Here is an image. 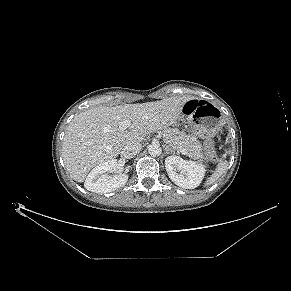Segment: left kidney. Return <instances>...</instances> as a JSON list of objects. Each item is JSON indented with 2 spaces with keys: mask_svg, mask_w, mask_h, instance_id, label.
Returning <instances> with one entry per match:
<instances>
[{
  "mask_svg": "<svg viewBox=\"0 0 291 291\" xmlns=\"http://www.w3.org/2000/svg\"><path fill=\"white\" fill-rule=\"evenodd\" d=\"M165 168L169 178L184 189H194L199 186L206 173L205 165L175 155L165 159Z\"/></svg>",
  "mask_w": 291,
  "mask_h": 291,
  "instance_id": "left-kidney-1",
  "label": "left kidney"
}]
</instances>
